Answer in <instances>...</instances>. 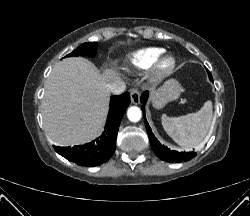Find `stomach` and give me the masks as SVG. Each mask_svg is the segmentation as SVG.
Returning a JSON list of instances; mask_svg holds the SVG:
<instances>
[{"instance_id":"stomach-1","label":"stomach","mask_w":250,"mask_h":216,"mask_svg":"<svg viewBox=\"0 0 250 216\" xmlns=\"http://www.w3.org/2000/svg\"><path fill=\"white\" fill-rule=\"evenodd\" d=\"M182 88L177 80L170 79L162 87L154 90L151 95V101L155 108H163L168 102L176 100L182 93Z\"/></svg>"}]
</instances>
